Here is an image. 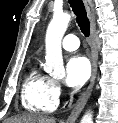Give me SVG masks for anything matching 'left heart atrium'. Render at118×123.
I'll return each instance as SVG.
<instances>
[{
    "label": "left heart atrium",
    "mask_w": 118,
    "mask_h": 123,
    "mask_svg": "<svg viewBox=\"0 0 118 123\" xmlns=\"http://www.w3.org/2000/svg\"><path fill=\"white\" fill-rule=\"evenodd\" d=\"M91 67L88 59L81 55L72 56L66 64L65 84L74 89L82 87L90 77Z\"/></svg>",
    "instance_id": "1"
}]
</instances>
